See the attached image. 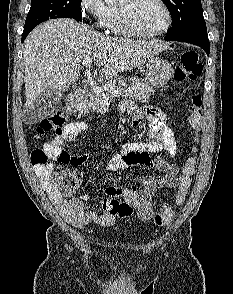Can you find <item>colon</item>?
<instances>
[{"instance_id": "1", "label": "colon", "mask_w": 233, "mask_h": 294, "mask_svg": "<svg viewBox=\"0 0 233 294\" xmlns=\"http://www.w3.org/2000/svg\"><path fill=\"white\" fill-rule=\"evenodd\" d=\"M202 64L199 55L194 51L184 52L181 56L180 64L175 70L174 78L176 82L195 81L202 74ZM190 128L194 135H197L203 122V101L199 93H195L190 102L189 116ZM67 121L66 114L59 110L54 112L48 118L43 119L36 127L38 137L49 132H55L60 135ZM51 154L44 148L35 149L31 153L32 164L37 166L47 165ZM195 171V158L191 154L185 161L182 174L179 177L178 190L175 196V202L181 205L185 202L189 188L192 184ZM55 188L63 195H72L80 186L81 179L74 173L66 170H58L53 176ZM122 214H130L132 208L126 204H121L119 208ZM174 210L169 205H161L155 214V223L158 226H167L174 218Z\"/></svg>"}]
</instances>
